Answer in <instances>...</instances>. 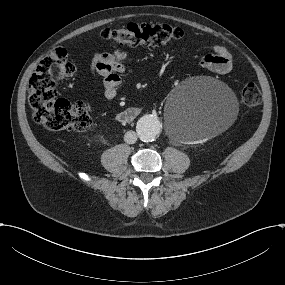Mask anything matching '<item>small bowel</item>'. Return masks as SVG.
I'll use <instances>...</instances> for the list:
<instances>
[{
    "label": "small bowel",
    "instance_id": "small-bowel-1",
    "mask_svg": "<svg viewBox=\"0 0 285 285\" xmlns=\"http://www.w3.org/2000/svg\"><path fill=\"white\" fill-rule=\"evenodd\" d=\"M126 53L116 50L112 53H95L91 60L90 71L99 77L106 98H114L121 84V75L125 72ZM202 67L219 73H229L233 68L230 52L223 45H215L213 53L205 55L201 60Z\"/></svg>",
    "mask_w": 285,
    "mask_h": 285
}]
</instances>
